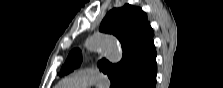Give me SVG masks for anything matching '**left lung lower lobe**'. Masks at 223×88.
Listing matches in <instances>:
<instances>
[{
	"label": "left lung lower lobe",
	"instance_id": "obj_1",
	"mask_svg": "<svg viewBox=\"0 0 223 88\" xmlns=\"http://www.w3.org/2000/svg\"><path fill=\"white\" fill-rule=\"evenodd\" d=\"M157 65L154 59L142 72L131 74L114 88H155Z\"/></svg>",
	"mask_w": 223,
	"mask_h": 88
}]
</instances>
